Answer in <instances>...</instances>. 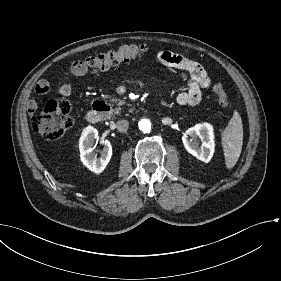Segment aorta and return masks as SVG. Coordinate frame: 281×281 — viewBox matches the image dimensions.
<instances>
[{
  "instance_id": "obj_1",
  "label": "aorta",
  "mask_w": 281,
  "mask_h": 281,
  "mask_svg": "<svg viewBox=\"0 0 281 281\" xmlns=\"http://www.w3.org/2000/svg\"><path fill=\"white\" fill-rule=\"evenodd\" d=\"M139 127L143 132L147 133V132H150L151 123L149 120L144 119V120L140 121Z\"/></svg>"
}]
</instances>
